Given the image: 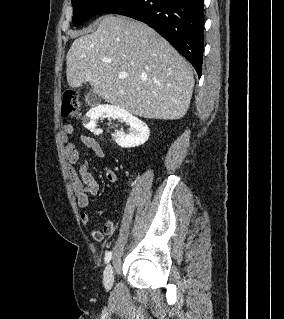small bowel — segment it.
Masks as SVG:
<instances>
[{"instance_id": "small-bowel-1", "label": "small bowel", "mask_w": 284, "mask_h": 319, "mask_svg": "<svg viewBox=\"0 0 284 319\" xmlns=\"http://www.w3.org/2000/svg\"><path fill=\"white\" fill-rule=\"evenodd\" d=\"M73 133L72 125H64L62 129V139L66 144L65 154L68 163V174L71 180L72 188L76 194L77 204L83 210L80 213V220L84 226H89L91 216L86 211L90 204V196H95L99 193L100 184L95 177L88 171L87 163L81 159L76 146L69 142V135ZM81 141L85 147L90 149L95 156L103 158L105 156L101 144L89 135H83ZM105 178L114 183L117 180L116 173L104 167ZM115 225L112 221H106L102 229L93 228L91 236L96 241H102L105 236H110L114 233Z\"/></svg>"}]
</instances>
